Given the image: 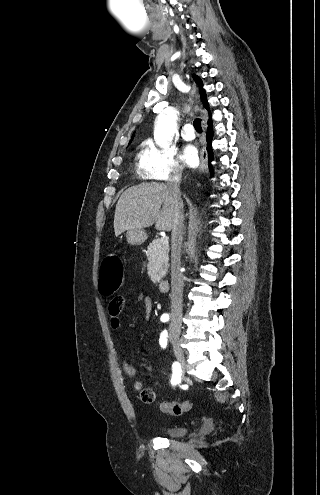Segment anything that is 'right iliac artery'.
<instances>
[{
	"instance_id": "obj_1",
	"label": "right iliac artery",
	"mask_w": 320,
	"mask_h": 495,
	"mask_svg": "<svg viewBox=\"0 0 320 495\" xmlns=\"http://www.w3.org/2000/svg\"><path fill=\"white\" fill-rule=\"evenodd\" d=\"M169 320V315L168 314H163L161 316V321L162 322H167ZM172 371H173V376H172V385H176L180 381L181 377V366L179 362L175 361L172 365Z\"/></svg>"
}]
</instances>
